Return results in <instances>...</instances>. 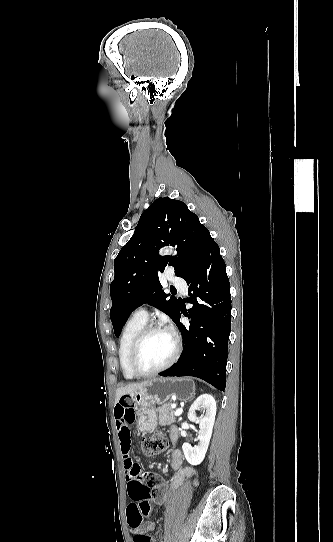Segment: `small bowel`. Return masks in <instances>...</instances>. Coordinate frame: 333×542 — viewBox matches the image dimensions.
Returning a JSON list of instances; mask_svg holds the SVG:
<instances>
[{
	"instance_id": "c3829d8e",
	"label": "small bowel",
	"mask_w": 333,
	"mask_h": 542,
	"mask_svg": "<svg viewBox=\"0 0 333 542\" xmlns=\"http://www.w3.org/2000/svg\"><path fill=\"white\" fill-rule=\"evenodd\" d=\"M114 415L116 419V432H117L118 445H119L120 452L123 455L124 463L126 467L129 468L127 478L130 481V486H131V482L133 480V475L131 471H132L133 466H132V461L129 458V453L131 451V446H132L130 425L132 424L135 418L133 402L131 400H121L115 406ZM175 434H179V431L176 427H172L169 433L170 438L172 439V437ZM182 461H183V457H182L181 452L179 450L173 451L172 456H171V467L173 470L176 471V474L172 480L170 494L179 490L186 479L192 478L196 475V472L192 467H182ZM195 484H197L196 481H195ZM127 514H128V524L131 527V529L134 530V532L145 533L153 529L152 522H147L145 525L142 526V523L140 521H135V518L137 516V507L134 503H132L129 506Z\"/></svg>"
}]
</instances>
